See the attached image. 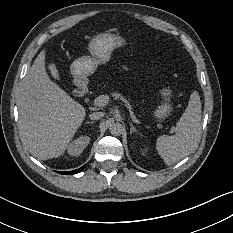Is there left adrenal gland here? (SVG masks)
<instances>
[{
    "label": "left adrenal gland",
    "mask_w": 233,
    "mask_h": 233,
    "mask_svg": "<svg viewBox=\"0 0 233 233\" xmlns=\"http://www.w3.org/2000/svg\"><path fill=\"white\" fill-rule=\"evenodd\" d=\"M131 129H133V130H136L137 131V129H136V127H135V125L132 123V122H130V130Z\"/></svg>",
    "instance_id": "left-adrenal-gland-1"
}]
</instances>
